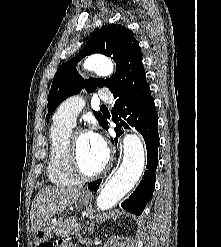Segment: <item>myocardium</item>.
Listing matches in <instances>:
<instances>
[{"mask_svg": "<svg viewBox=\"0 0 221 247\" xmlns=\"http://www.w3.org/2000/svg\"><path fill=\"white\" fill-rule=\"evenodd\" d=\"M87 130L78 129L70 134L69 138V154L72 170L75 175L82 180H93L104 175L111 166L112 163V152L111 149L105 145L106 159L104 165L94 173H86L80 163L78 149H77V138L81 134H88Z\"/></svg>", "mask_w": 221, "mask_h": 247, "instance_id": "1", "label": "myocardium"}]
</instances>
